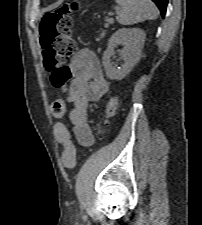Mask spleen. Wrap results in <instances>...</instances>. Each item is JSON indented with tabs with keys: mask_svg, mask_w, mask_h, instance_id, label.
Instances as JSON below:
<instances>
[{
	"mask_svg": "<svg viewBox=\"0 0 202 225\" xmlns=\"http://www.w3.org/2000/svg\"><path fill=\"white\" fill-rule=\"evenodd\" d=\"M120 6L117 21L121 25H132L158 17V10L151 0H116Z\"/></svg>",
	"mask_w": 202,
	"mask_h": 225,
	"instance_id": "obj_1",
	"label": "spleen"
}]
</instances>
